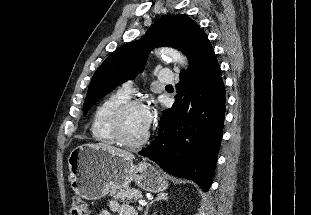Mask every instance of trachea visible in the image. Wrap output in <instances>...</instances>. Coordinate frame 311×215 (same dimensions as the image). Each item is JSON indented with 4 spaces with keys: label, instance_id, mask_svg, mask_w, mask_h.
<instances>
[{
    "label": "trachea",
    "instance_id": "trachea-1",
    "mask_svg": "<svg viewBox=\"0 0 311 215\" xmlns=\"http://www.w3.org/2000/svg\"><path fill=\"white\" fill-rule=\"evenodd\" d=\"M167 87H171V85H167Z\"/></svg>",
    "mask_w": 311,
    "mask_h": 215
}]
</instances>
